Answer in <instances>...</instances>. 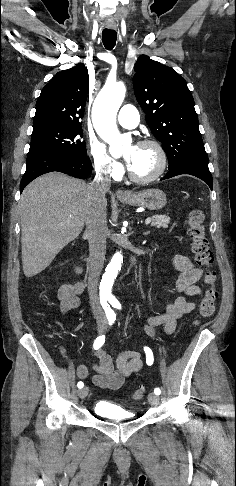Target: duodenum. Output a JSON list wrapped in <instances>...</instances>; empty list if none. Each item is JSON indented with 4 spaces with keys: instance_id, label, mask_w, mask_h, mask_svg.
Here are the masks:
<instances>
[{
    "instance_id": "duodenum-1",
    "label": "duodenum",
    "mask_w": 236,
    "mask_h": 486,
    "mask_svg": "<svg viewBox=\"0 0 236 486\" xmlns=\"http://www.w3.org/2000/svg\"><path fill=\"white\" fill-rule=\"evenodd\" d=\"M75 271H76L77 273H81V272H82V267H81V266H79V265H77V266L75 267Z\"/></svg>"
}]
</instances>
